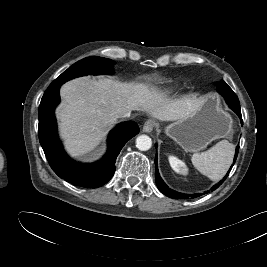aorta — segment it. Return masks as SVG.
<instances>
[{
  "mask_svg": "<svg viewBox=\"0 0 267 267\" xmlns=\"http://www.w3.org/2000/svg\"><path fill=\"white\" fill-rule=\"evenodd\" d=\"M152 146V140L147 135H140L136 138V147L140 151H147Z\"/></svg>",
  "mask_w": 267,
  "mask_h": 267,
  "instance_id": "1",
  "label": "aorta"
}]
</instances>
